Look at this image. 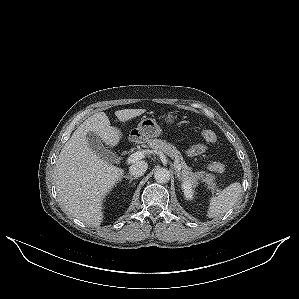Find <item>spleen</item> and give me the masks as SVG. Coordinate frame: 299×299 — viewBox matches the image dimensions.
I'll return each mask as SVG.
<instances>
[{
    "label": "spleen",
    "mask_w": 299,
    "mask_h": 299,
    "mask_svg": "<svg viewBox=\"0 0 299 299\" xmlns=\"http://www.w3.org/2000/svg\"><path fill=\"white\" fill-rule=\"evenodd\" d=\"M241 193V184L234 182L223 189L217 196H212L209 201L207 216L219 217L234 206Z\"/></svg>",
    "instance_id": "obj_1"
}]
</instances>
